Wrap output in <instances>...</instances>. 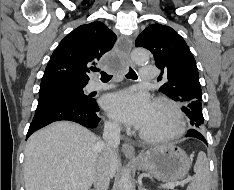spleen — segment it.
<instances>
[{
    "label": "spleen",
    "mask_w": 234,
    "mask_h": 190,
    "mask_svg": "<svg viewBox=\"0 0 234 190\" xmlns=\"http://www.w3.org/2000/svg\"><path fill=\"white\" fill-rule=\"evenodd\" d=\"M194 177L187 190H210L209 163L204 152H199L194 165Z\"/></svg>",
    "instance_id": "spleen-1"
}]
</instances>
